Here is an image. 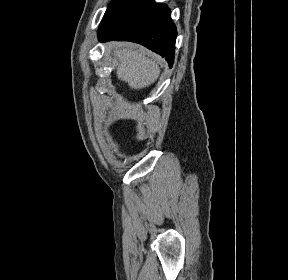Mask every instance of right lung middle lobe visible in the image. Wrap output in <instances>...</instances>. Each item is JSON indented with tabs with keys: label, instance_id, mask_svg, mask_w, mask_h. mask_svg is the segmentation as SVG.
<instances>
[{
	"label": "right lung middle lobe",
	"instance_id": "1",
	"mask_svg": "<svg viewBox=\"0 0 288 280\" xmlns=\"http://www.w3.org/2000/svg\"><path fill=\"white\" fill-rule=\"evenodd\" d=\"M123 1H124V0H113V1L109 4V6H108V8H107V11L110 10V9H112L113 7L121 4ZM107 11H106V12H107Z\"/></svg>",
	"mask_w": 288,
	"mask_h": 280
}]
</instances>
